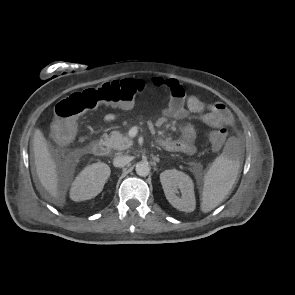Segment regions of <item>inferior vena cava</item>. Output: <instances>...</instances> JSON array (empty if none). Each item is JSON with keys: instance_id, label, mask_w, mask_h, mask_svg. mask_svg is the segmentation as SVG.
Returning <instances> with one entry per match:
<instances>
[{"instance_id": "inferior-vena-cava-1", "label": "inferior vena cava", "mask_w": 295, "mask_h": 295, "mask_svg": "<svg viewBox=\"0 0 295 295\" xmlns=\"http://www.w3.org/2000/svg\"><path fill=\"white\" fill-rule=\"evenodd\" d=\"M131 160H132V157H130V156H125V155L117 156V157L114 158L113 165L115 167H124Z\"/></svg>"}]
</instances>
